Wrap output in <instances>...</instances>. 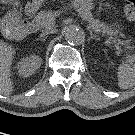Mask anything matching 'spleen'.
<instances>
[{
    "mask_svg": "<svg viewBox=\"0 0 135 135\" xmlns=\"http://www.w3.org/2000/svg\"><path fill=\"white\" fill-rule=\"evenodd\" d=\"M117 77L120 89H128L135 86V64H121L118 68Z\"/></svg>",
    "mask_w": 135,
    "mask_h": 135,
    "instance_id": "obj_1",
    "label": "spleen"
}]
</instances>
